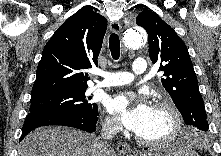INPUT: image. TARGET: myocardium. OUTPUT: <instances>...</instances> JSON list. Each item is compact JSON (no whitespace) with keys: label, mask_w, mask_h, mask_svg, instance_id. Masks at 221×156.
I'll return each instance as SVG.
<instances>
[{"label":"myocardium","mask_w":221,"mask_h":156,"mask_svg":"<svg viewBox=\"0 0 221 156\" xmlns=\"http://www.w3.org/2000/svg\"><path fill=\"white\" fill-rule=\"evenodd\" d=\"M154 108L164 110L170 115L171 129L166 135L153 139L145 138L138 134L137 140L146 146H160L167 144L176 139L182 130V116L178 108L173 103L167 100H160L154 105Z\"/></svg>","instance_id":"1"}]
</instances>
